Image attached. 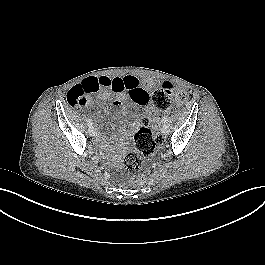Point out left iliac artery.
I'll return each mask as SVG.
<instances>
[{"mask_svg": "<svg viewBox=\"0 0 265 265\" xmlns=\"http://www.w3.org/2000/svg\"><path fill=\"white\" fill-rule=\"evenodd\" d=\"M162 122H163V123H167V122H168V116H164V117L162 118Z\"/></svg>", "mask_w": 265, "mask_h": 265, "instance_id": "obj_1", "label": "left iliac artery"}]
</instances>
